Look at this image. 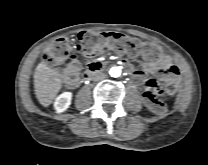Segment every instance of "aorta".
<instances>
[{"label": "aorta", "instance_id": "obj_1", "mask_svg": "<svg viewBox=\"0 0 208 165\" xmlns=\"http://www.w3.org/2000/svg\"><path fill=\"white\" fill-rule=\"evenodd\" d=\"M109 74H110L111 77L117 78L121 75V68L119 66L118 67H112L109 70Z\"/></svg>", "mask_w": 208, "mask_h": 165}]
</instances>
